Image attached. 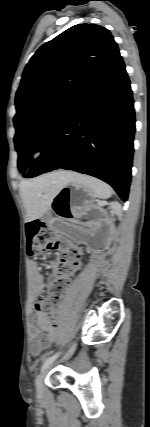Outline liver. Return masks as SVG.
I'll use <instances>...</instances> for the list:
<instances>
[{"mask_svg": "<svg viewBox=\"0 0 150 427\" xmlns=\"http://www.w3.org/2000/svg\"><path fill=\"white\" fill-rule=\"evenodd\" d=\"M76 176L74 172L60 170L21 181L19 188L27 220L32 221L43 216L51 207L54 196Z\"/></svg>", "mask_w": 150, "mask_h": 427, "instance_id": "obj_1", "label": "liver"}]
</instances>
